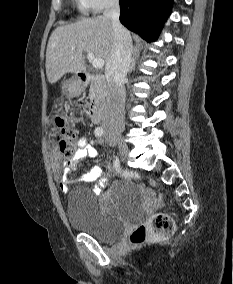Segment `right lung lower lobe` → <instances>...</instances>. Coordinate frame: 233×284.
<instances>
[{
    "instance_id": "98d812e1",
    "label": "right lung lower lobe",
    "mask_w": 233,
    "mask_h": 284,
    "mask_svg": "<svg viewBox=\"0 0 233 284\" xmlns=\"http://www.w3.org/2000/svg\"><path fill=\"white\" fill-rule=\"evenodd\" d=\"M173 0H119L120 22L147 41H155Z\"/></svg>"
}]
</instances>
